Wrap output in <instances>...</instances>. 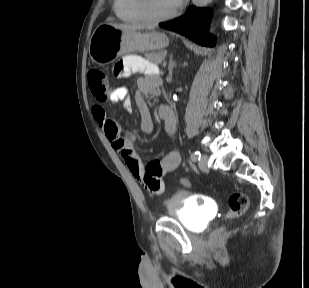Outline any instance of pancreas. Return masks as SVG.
I'll return each instance as SVG.
<instances>
[{
  "mask_svg": "<svg viewBox=\"0 0 309 288\" xmlns=\"http://www.w3.org/2000/svg\"><path fill=\"white\" fill-rule=\"evenodd\" d=\"M164 56H165L164 52L160 51L156 53L146 54L145 58L154 64H160L164 59Z\"/></svg>",
  "mask_w": 309,
  "mask_h": 288,
  "instance_id": "pancreas-1",
  "label": "pancreas"
}]
</instances>
